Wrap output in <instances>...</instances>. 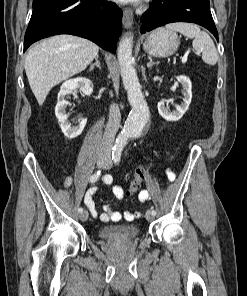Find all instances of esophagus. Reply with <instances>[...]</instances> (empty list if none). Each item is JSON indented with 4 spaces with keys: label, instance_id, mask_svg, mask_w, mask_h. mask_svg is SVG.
Masks as SVG:
<instances>
[{
    "label": "esophagus",
    "instance_id": "obj_1",
    "mask_svg": "<svg viewBox=\"0 0 247 296\" xmlns=\"http://www.w3.org/2000/svg\"><path fill=\"white\" fill-rule=\"evenodd\" d=\"M133 11L130 9V8H125L124 11H123V19H122V22H123V26L126 28V29H129L132 27V24H133Z\"/></svg>",
    "mask_w": 247,
    "mask_h": 296
}]
</instances>
